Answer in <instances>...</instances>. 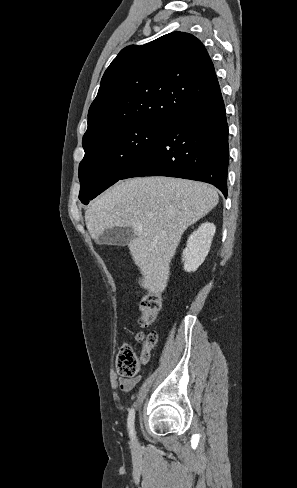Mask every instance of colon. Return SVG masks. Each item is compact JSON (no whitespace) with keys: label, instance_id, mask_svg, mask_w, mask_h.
Returning <instances> with one entry per match:
<instances>
[{"label":"colon","instance_id":"obj_1","mask_svg":"<svg viewBox=\"0 0 297 488\" xmlns=\"http://www.w3.org/2000/svg\"><path fill=\"white\" fill-rule=\"evenodd\" d=\"M161 298L156 290H149L140 302V318L138 325L141 331L138 333V341L141 344V352L137 353L131 344L124 343L118 350L116 367L121 376L134 377L138 374L149 358L154 348L157 335L154 331H144L152 326L160 312Z\"/></svg>","mask_w":297,"mask_h":488}]
</instances>
